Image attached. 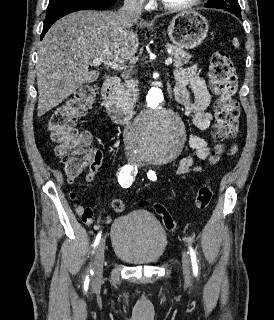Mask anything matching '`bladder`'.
Wrapping results in <instances>:
<instances>
[{
	"instance_id": "31cf9c89",
	"label": "bladder",
	"mask_w": 274,
	"mask_h": 320,
	"mask_svg": "<svg viewBox=\"0 0 274 320\" xmlns=\"http://www.w3.org/2000/svg\"><path fill=\"white\" fill-rule=\"evenodd\" d=\"M111 242L114 254L123 261L133 265H153L164 256L168 238L155 216L132 210L113 221Z\"/></svg>"
}]
</instances>
